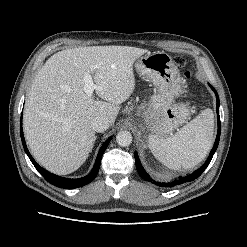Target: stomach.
Returning <instances> with one entry per match:
<instances>
[{
    "instance_id": "0dacf381",
    "label": "stomach",
    "mask_w": 247,
    "mask_h": 247,
    "mask_svg": "<svg viewBox=\"0 0 247 247\" xmlns=\"http://www.w3.org/2000/svg\"><path fill=\"white\" fill-rule=\"evenodd\" d=\"M137 73L150 81L155 92L136 112L137 125L143 132L164 137L185 123L189 110L177 99L185 85L171 56L164 51L148 53L135 64Z\"/></svg>"
}]
</instances>
